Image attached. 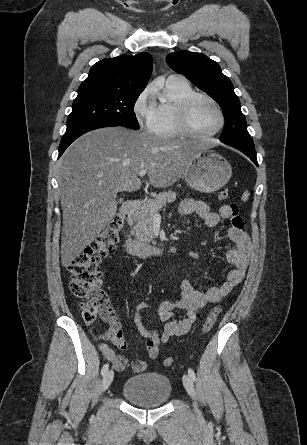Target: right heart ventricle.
<instances>
[{
  "instance_id": "obj_1",
  "label": "right heart ventricle",
  "mask_w": 307,
  "mask_h": 445,
  "mask_svg": "<svg viewBox=\"0 0 307 445\" xmlns=\"http://www.w3.org/2000/svg\"><path fill=\"white\" fill-rule=\"evenodd\" d=\"M192 93L194 91L191 85L179 80H168L163 90L155 93L153 107L156 112V124L153 131L162 136L157 140H184L178 137L183 132L173 116L172 108Z\"/></svg>"
}]
</instances>
